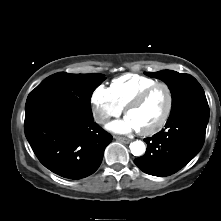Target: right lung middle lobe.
<instances>
[{
  "label": "right lung middle lobe",
  "mask_w": 221,
  "mask_h": 221,
  "mask_svg": "<svg viewBox=\"0 0 221 221\" xmlns=\"http://www.w3.org/2000/svg\"><path fill=\"white\" fill-rule=\"evenodd\" d=\"M105 80L103 74L59 72L43 80L29 95L25 111L45 103L59 104L82 118H93L90 99Z\"/></svg>",
  "instance_id": "1"
}]
</instances>
